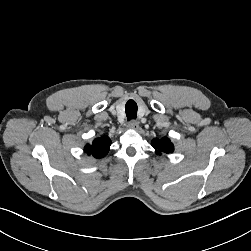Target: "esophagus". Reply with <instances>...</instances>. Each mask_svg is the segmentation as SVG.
<instances>
[{
  "instance_id": "esophagus-1",
  "label": "esophagus",
  "mask_w": 251,
  "mask_h": 251,
  "mask_svg": "<svg viewBox=\"0 0 251 251\" xmlns=\"http://www.w3.org/2000/svg\"><path fill=\"white\" fill-rule=\"evenodd\" d=\"M128 127L137 130L139 128V122L136 120H131L128 124Z\"/></svg>"
}]
</instances>
